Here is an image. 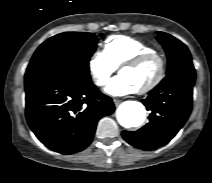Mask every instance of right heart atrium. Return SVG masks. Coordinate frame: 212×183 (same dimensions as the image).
<instances>
[{
  "mask_svg": "<svg viewBox=\"0 0 212 183\" xmlns=\"http://www.w3.org/2000/svg\"><path fill=\"white\" fill-rule=\"evenodd\" d=\"M117 67L104 51L95 52L88 61V71L92 81L99 87H104L110 81Z\"/></svg>",
  "mask_w": 212,
  "mask_h": 183,
  "instance_id": "right-heart-atrium-1",
  "label": "right heart atrium"
}]
</instances>
